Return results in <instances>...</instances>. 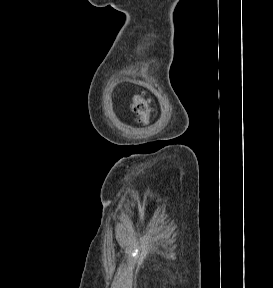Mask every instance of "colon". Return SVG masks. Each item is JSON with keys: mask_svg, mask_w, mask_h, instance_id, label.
<instances>
[{"mask_svg": "<svg viewBox=\"0 0 273 288\" xmlns=\"http://www.w3.org/2000/svg\"><path fill=\"white\" fill-rule=\"evenodd\" d=\"M132 110L139 117L141 123L146 124L150 119V101L141 94L133 97Z\"/></svg>", "mask_w": 273, "mask_h": 288, "instance_id": "colon-1", "label": "colon"}]
</instances>
